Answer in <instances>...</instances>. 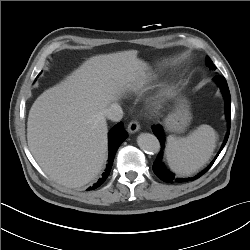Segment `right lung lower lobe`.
I'll return each instance as SVG.
<instances>
[{"instance_id":"1","label":"right lung lower lobe","mask_w":250,"mask_h":250,"mask_svg":"<svg viewBox=\"0 0 250 250\" xmlns=\"http://www.w3.org/2000/svg\"><path fill=\"white\" fill-rule=\"evenodd\" d=\"M127 136H128L127 132L124 130V126L122 122L115 125L109 131L108 133V140H109L108 164L106 166L104 173L102 174V177L92 187H89V190L96 189L97 187H99L100 185L104 183V181L110 174L116 151L118 147L120 146V144L127 138Z\"/></svg>"}]
</instances>
